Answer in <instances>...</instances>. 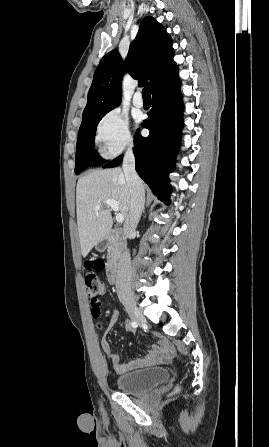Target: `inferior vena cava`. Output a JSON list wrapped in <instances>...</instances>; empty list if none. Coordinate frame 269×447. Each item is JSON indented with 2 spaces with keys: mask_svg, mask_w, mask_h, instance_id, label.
I'll list each match as a JSON object with an SVG mask.
<instances>
[{
  "mask_svg": "<svg viewBox=\"0 0 269 447\" xmlns=\"http://www.w3.org/2000/svg\"><path fill=\"white\" fill-rule=\"evenodd\" d=\"M123 172L130 192V210L128 218L123 225L124 233L132 235L135 233L137 224L141 218V212L145 204V192L141 178L135 172V156L133 154V146L127 148V152L123 160ZM131 257L129 249L124 251L121 259L118 261L116 275V291L120 295H128L131 293Z\"/></svg>",
  "mask_w": 269,
  "mask_h": 447,
  "instance_id": "602c4592",
  "label": "inferior vena cava"
}]
</instances>
